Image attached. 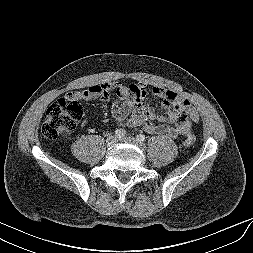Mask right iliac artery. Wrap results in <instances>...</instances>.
Returning a JSON list of instances; mask_svg holds the SVG:
<instances>
[{"instance_id":"right-iliac-artery-1","label":"right iliac artery","mask_w":253,"mask_h":253,"mask_svg":"<svg viewBox=\"0 0 253 253\" xmlns=\"http://www.w3.org/2000/svg\"><path fill=\"white\" fill-rule=\"evenodd\" d=\"M125 134H126V131L123 130V129H117V130L115 131V136H116L117 138H119V139L123 138V137L125 136Z\"/></svg>"}]
</instances>
